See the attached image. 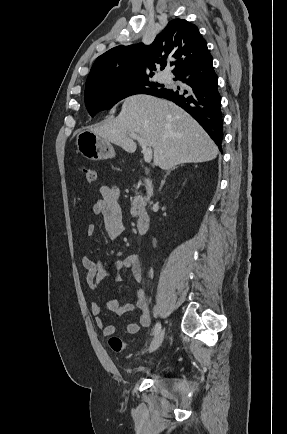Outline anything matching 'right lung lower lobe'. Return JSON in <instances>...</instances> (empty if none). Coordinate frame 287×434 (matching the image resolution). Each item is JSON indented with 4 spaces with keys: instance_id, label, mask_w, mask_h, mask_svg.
<instances>
[{
    "instance_id": "right-lung-lower-lobe-1",
    "label": "right lung lower lobe",
    "mask_w": 287,
    "mask_h": 434,
    "mask_svg": "<svg viewBox=\"0 0 287 434\" xmlns=\"http://www.w3.org/2000/svg\"><path fill=\"white\" fill-rule=\"evenodd\" d=\"M185 84L177 90L162 88L150 95L168 99L187 111L210 135L221 150L223 117L218 78L207 51L196 61L175 74Z\"/></svg>"
}]
</instances>
